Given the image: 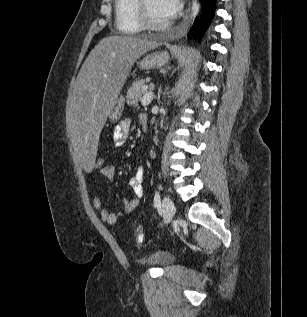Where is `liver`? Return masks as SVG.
Masks as SVG:
<instances>
[{"label": "liver", "instance_id": "obj_1", "mask_svg": "<svg viewBox=\"0 0 307 317\" xmlns=\"http://www.w3.org/2000/svg\"><path fill=\"white\" fill-rule=\"evenodd\" d=\"M160 45L146 37L111 35L103 38L83 63L67 115L68 136L83 175L95 170L100 132L134 63Z\"/></svg>", "mask_w": 307, "mask_h": 317}]
</instances>
